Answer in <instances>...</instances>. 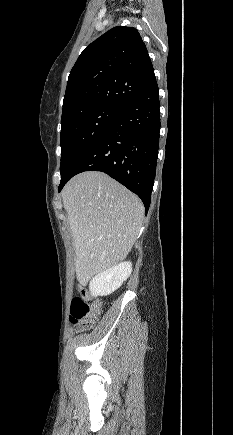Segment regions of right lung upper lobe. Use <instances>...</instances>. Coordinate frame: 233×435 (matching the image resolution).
<instances>
[{"instance_id": "obj_1", "label": "right lung upper lobe", "mask_w": 233, "mask_h": 435, "mask_svg": "<svg viewBox=\"0 0 233 435\" xmlns=\"http://www.w3.org/2000/svg\"><path fill=\"white\" fill-rule=\"evenodd\" d=\"M154 79L139 32L133 27H114L87 46L73 66L61 122L98 107L122 109Z\"/></svg>"}]
</instances>
